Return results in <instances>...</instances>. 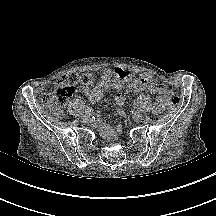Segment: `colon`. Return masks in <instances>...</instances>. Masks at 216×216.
<instances>
[{
  "label": "colon",
  "mask_w": 216,
  "mask_h": 216,
  "mask_svg": "<svg viewBox=\"0 0 216 216\" xmlns=\"http://www.w3.org/2000/svg\"><path fill=\"white\" fill-rule=\"evenodd\" d=\"M93 77L89 74H82L72 71L61 77L54 91L44 95L43 103L57 116L64 114V107L75 91V85L89 84ZM179 97L172 91L168 90L165 104L169 108L176 107L179 104Z\"/></svg>",
  "instance_id": "colon-1"
}]
</instances>
